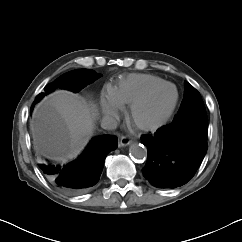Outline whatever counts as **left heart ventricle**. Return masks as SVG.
<instances>
[{
	"mask_svg": "<svg viewBox=\"0 0 242 242\" xmlns=\"http://www.w3.org/2000/svg\"><path fill=\"white\" fill-rule=\"evenodd\" d=\"M175 99V90L165 87L158 91L136 113V121L144 125H153L160 122L170 109Z\"/></svg>",
	"mask_w": 242,
	"mask_h": 242,
	"instance_id": "b2bd125f",
	"label": "left heart ventricle"
}]
</instances>
